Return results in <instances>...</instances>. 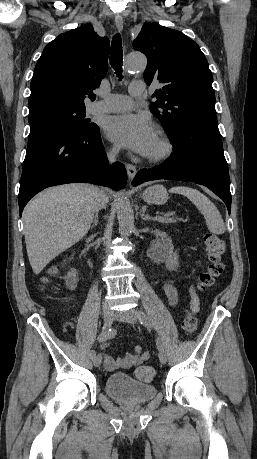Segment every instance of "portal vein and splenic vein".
Masks as SVG:
<instances>
[{
	"instance_id": "portal-vein-and-splenic-vein-1",
	"label": "portal vein and splenic vein",
	"mask_w": 257,
	"mask_h": 459,
	"mask_svg": "<svg viewBox=\"0 0 257 459\" xmlns=\"http://www.w3.org/2000/svg\"><path fill=\"white\" fill-rule=\"evenodd\" d=\"M168 216L171 215V214H167ZM157 220H162L163 218L161 217H156ZM169 221H173L172 219H169Z\"/></svg>"
}]
</instances>
